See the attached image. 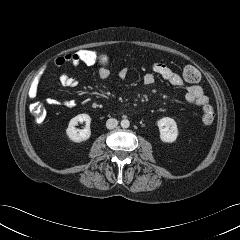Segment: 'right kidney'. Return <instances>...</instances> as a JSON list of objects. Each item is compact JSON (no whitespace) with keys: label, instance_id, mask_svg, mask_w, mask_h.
<instances>
[{"label":"right kidney","instance_id":"obj_1","mask_svg":"<svg viewBox=\"0 0 240 240\" xmlns=\"http://www.w3.org/2000/svg\"><path fill=\"white\" fill-rule=\"evenodd\" d=\"M85 123L84 129H77L75 126L78 123ZM91 118L88 114H79L72 118L69 122L68 128L66 129V134L68 138L76 143L84 142L88 140L91 136Z\"/></svg>","mask_w":240,"mask_h":240}]
</instances>
